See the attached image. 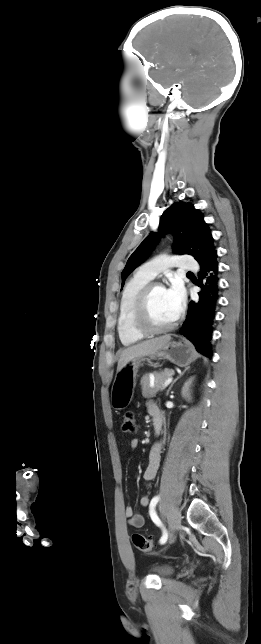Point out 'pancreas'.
<instances>
[{
  "label": "pancreas",
  "mask_w": 261,
  "mask_h": 644,
  "mask_svg": "<svg viewBox=\"0 0 261 644\" xmlns=\"http://www.w3.org/2000/svg\"><path fill=\"white\" fill-rule=\"evenodd\" d=\"M174 375V370L173 369H164L163 371L160 372H153L152 376L154 377V386L151 387V375H144L141 378V386H142V395L144 398H151L156 396L157 392L160 390H163V384L164 382Z\"/></svg>",
  "instance_id": "pancreas-1"
}]
</instances>
